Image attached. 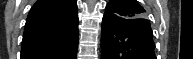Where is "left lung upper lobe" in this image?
<instances>
[{
    "label": "left lung upper lobe",
    "instance_id": "obj_1",
    "mask_svg": "<svg viewBox=\"0 0 193 59\" xmlns=\"http://www.w3.org/2000/svg\"><path fill=\"white\" fill-rule=\"evenodd\" d=\"M106 12L136 22L146 20V11L134 0H110L106 6Z\"/></svg>",
    "mask_w": 193,
    "mask_h": 59
}]
</instances>
